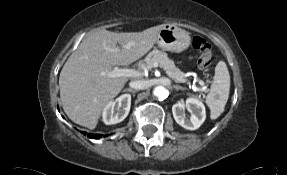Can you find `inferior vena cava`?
Masks as SVG:
<instances>
[{
  "instance_id": "obj_1",
  "label": "inferior vena cava",
  "mask_w": 287,
  "mask_h": 175,
  "mask_svg": "<svg viewBox=\"0 0 287 175\" xmlns=\"http://www.w3.org/2000/svg\"><path fill=\"white\" fill-rule=\"evenodd\" d=\"M129 86L134 89L143 90L149 87V82L145 80L131 81Z\"/></svg>"
}]
</instances>
